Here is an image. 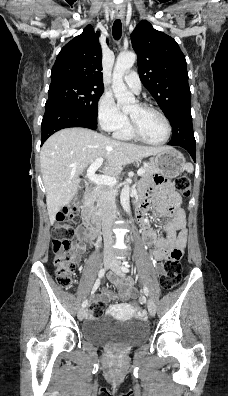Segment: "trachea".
<instances>
[{
  "label": "trachea",
  "mask_w": 228,
  "mask_h": 396,
  "mask_svg": "<svg viewBox=\"0 0 228 396\" xmlns=\"http://www.w3.org/2000/svg\"><path fill=\"white\" fill-rule=\"evenodd\" d=\"M112 34L115 40H119L122 34V24L119 19L115 20L112 28Z\"/></svg>",
  "instance_id": "obj_1"
}]
</instances>
